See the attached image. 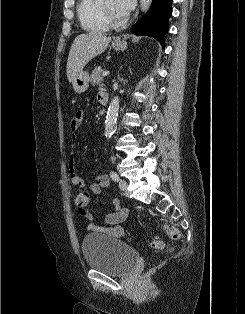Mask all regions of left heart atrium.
<instances>
[{"label":"left heart atrium","instance_id":"39dd6f15","mask_svg":"<svg viewBox=\"0 0 245 314\" xmlns=\"http://www.w3.org/2000/svg\"><path fill=\"white\" fill-rule=\"evenodd\" d=\"M117 9L123 14L130 13L134 6L135 0H115Z\"/></svg>","mask_w":245,"mask_h":314}]
</instances>
